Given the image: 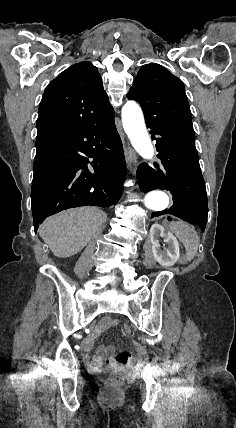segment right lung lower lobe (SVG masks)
Here are the masks:
<instances>
[{
  "label": "right lung lower lobe",
  "instance_id": "right-lung-lower-lobe-1",
  "mask_svg": "<svg viewBox=\"0 0 236 428\" xmlns=\"http://www.w3.org/2000/svg\"><path fill=\"white\" fill-rule=\"evenodd\" d=\"M36 147L31 189L35 232L46 217L62 210L108 208L120 199L126 167L114 114L38 140Z\"/></svg>",
  "mask_w": 236,
  "mask_h": 428
}]
</instances>
